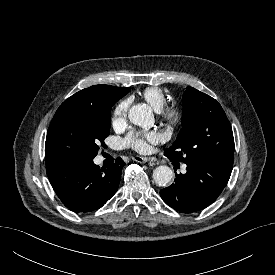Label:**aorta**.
Wrapping results in <instances>:
<instances>
[{
    "label": "aorta",
    "instance_id": "1",
    "mask_svg": "<svg viewBox=\"0 0 275 275\" xmlns=\"http://www.w3.org/2000/svg\"><path fill=\"white\" fill-rule=\"evenodd\" d=\"M128 118L134 125L150 128L154 124L152 110L145 104L134 105L129 109ZM173 178V171L165 165L158 166L153 171V180L158 186L168 185Z\"/></svg>",
    "mask_w": 275,
    "mask_h": 275
}]
</instances>
